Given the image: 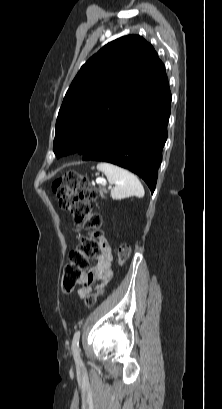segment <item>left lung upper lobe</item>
Listing matches in <instances>:
<instances>
[{"label": "left lung upper lobe", "mask_w": 222, "mask_h": 409, "mask_svg": "<svg viewBox=\"0 0 222 409\" xmlns=\"http://www.w3.org/2000/svg\"><path fill=\"white\" fill-rule=\"evenodd\" d=\"M166 80L164 64L142 37L128 35L108 43L81 67L64 97L54 153H84L124 105Z\"/></svg>", "instance_id": "1"}]
</instances>
